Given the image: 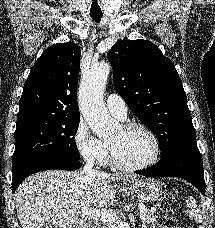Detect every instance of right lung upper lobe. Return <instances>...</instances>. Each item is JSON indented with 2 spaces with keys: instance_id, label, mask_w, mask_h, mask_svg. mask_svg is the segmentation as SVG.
<instances>
[{
  "instance_id": "1",
  "label": "right lung upper lobe",
  "mask_w": 215,
  "mask_h": 228,
  "mask_svg": "<svg viewBox=\"0 0 215 228\" xmlns=\"http://www.w3.org/2000/svg\"><path fill=\"white\" fill-rule=\"evenodd\" d=\"M80 47L73 42L47 48L24 84L17 125L39 120L80 118L77 83Z\"/></svg>"
}]
</instances>
